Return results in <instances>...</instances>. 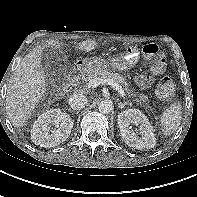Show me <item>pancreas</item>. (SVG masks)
Returning a JSON list of instances; mask_svg holds the SVG:
<instances>
[{"label": "pancreas", "mask_w": 197, "mask_h": 197, "mask_svg": "<svg viewBox=\"0 0 197 197\" xmlns=\"http://www.w3.org/2000/svg\"><path fill=\"white\" fill-rule=\"evenodd\" d=\"M94 78L112 80L118 84H121L124 87V90L128 93L130 97L137 96L136 94H133V91L128 88V83L126 82V79L118 73H113L109 71L108 69L100 70V71H89L87 72V74L82 76V81L89 82L90 80ZM138 97L139 99L137 101L140 100L142 102H146L148 100V97L144 94H140Z\"/></svg>", "instance_id": "cf45deb5"}]
</instances>
